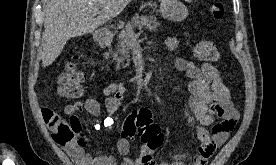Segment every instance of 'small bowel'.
<instances>
[{
    "instance_id": "obj_1",
    "label": "small bowel",
    "mask_w": 276,
    "mask_h": 165,
    "mask_svg": "<svg viewBox=\"0 0 276 165\" xmlns=\"http://www.w3.org/2000/svg\"><path fill=\"white\" fill-rule=\"evenodd\" d=\"M178 44L179 40L176 37L169 38L167 41L171 50L175 49ZM172 63L178 71L183 72L190 80L188 109L184 115L201 142L194 161L188 164L185 162L184 154H176L171 161L162 160L156 163L152 151L144 147L138 157L130 158L128 156L130 144L125 138L119 139L116 144L119 161L115 156L104 155L100 152L95 154L86 152L84 149L86 139L82 133L77 113L86 111L94 117H99L102 114L101 103L94 97H88L84 101H75L66 105L63 110L69 121L77 123L81 128L80 141L63 146L75 165H207L214 152L224 144L234 129L239 119V113L230 100L229 90L222 81L216 66L211 63H203L198 66L182 57L174 58ZM124 92L122 82H113L103 88L104 109L107 116L100 122L93 124L94 130L113 125V115L121 106ZM51 112L53 111L48 108L42 109V115L47 124L46 114ZM217 119H219L218 122H216ZM207 126H212L211 132L207 130Z\"/></svg>"
}]
</instances>
